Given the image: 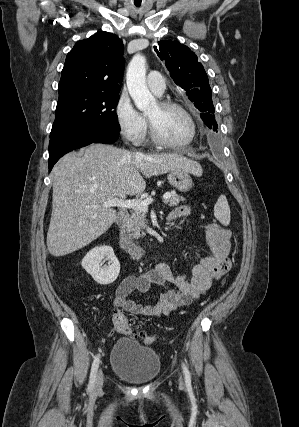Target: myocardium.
Here are the masks:
<instances>
[{"label":"myocardium","mask_w":299,"mask_h":427,"mask_svg":"<svg viewBox=\"0 0 299 427\" xmlns=\"http://www.w3.org/2000/svg\"><path fill=\"white\" fill-rule=\"evenodd\" d=\"M158 105L161 108H172L180 111L188 120L190 124V135L187 140L183 142H172L168 141L165 138H163L157 131L155 125L153 122L148 118V125L150 130V136L154 143H156L159 146L166 147V148H182L185 146H188L193 142V140L196 137L197 133V126L196 122L192 116V114L189 112L187 108H185L182 104L172 101V100H162L158 102Z\"/></svg>","instance_id":"f54148a6"}]
</instances>
